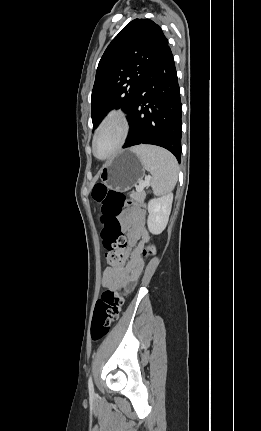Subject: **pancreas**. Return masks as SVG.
<instances>
[{
  "label": "pancreas",
  "mask_w": 261,
  "mask_h": 431,
  "mask_svg": "<svg viewBox=\"0 0 261 431\" xmlns=\"http://www.w3.org/2000/svg\"><path fill=\"white\" fill-rule=\"evenodd\" d=\"M145 192L144 191H137V192H132L130 194V198L136 202L142 203L145 199Z\"/></svg>",
  "instance_id": "cf45deb5"
}]
</instances>
